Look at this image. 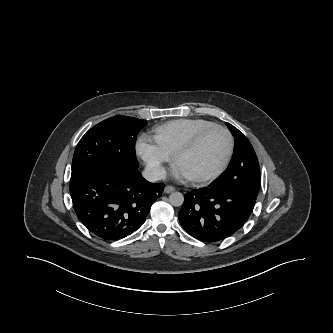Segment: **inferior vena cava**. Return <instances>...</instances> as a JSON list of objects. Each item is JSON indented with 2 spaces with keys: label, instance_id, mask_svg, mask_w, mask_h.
Returning a JSON list of instances; mask_svg holds the SVG:
<instances>
[{
  "label": "inferior vena cava",
  "instance_id": "inferior-vena-cava-1",
  "mask_svg": "<svg viewBox=\"0 0 333 333\" xmlns=\"http://www.w3.org/2000/svg\"><path fill=\"white\" fill-rule=\"evenodd\" d=\"M143 177L149 182H156L165 178V170L160 166H146L143 173Z\"/></svg>",
  "mask_w": 333,
  "mask_h": 333
}]
</instances>
